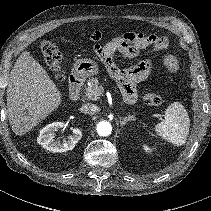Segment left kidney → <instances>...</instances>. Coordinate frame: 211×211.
Masks as SVG:
<instances>
[{
	"label": "left kidney",
	"mask_w": 211,
	"mask_h": 211,
	"mask_svg": "<svg viewBox=\"0 0 211 211\" xmlns=\"http://www.w3.org/2000/svg\"><path fill=\"white\" fill-rule=\"evenodd\" d=\"M143 147H144V150L146 152H151L152 151V149L149 146H147V145H144Z\"/></svg>",
	"instance_id": "5707ae66"
}]
</instances>
